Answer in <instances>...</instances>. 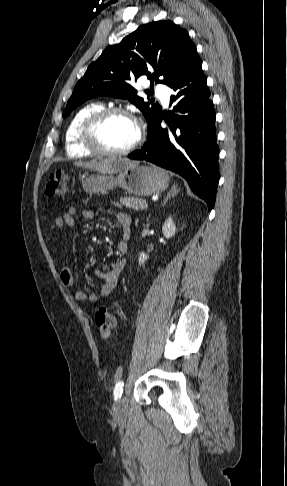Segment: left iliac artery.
I'll list each match as a JSON object with an SVG mask.
<instances>
[{
    "label": "left iliac artery",
    "mask_w": 287,
    "mask_h": 486,
    "mask_svg": "<svg viewBox=\"0 0 287 486\" xmlns=\"http://www.w3.org/2000/svg\"><path fill=\"white\" fill-rule=\"evenodd\" d=\"M123 386H124V383L123 381H119L116 385H115V388H114V398L115 400L119 399L123 393Z\"/></svg>",
    "instance_id": "obj_1"
}]
</instances>
